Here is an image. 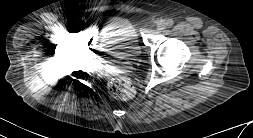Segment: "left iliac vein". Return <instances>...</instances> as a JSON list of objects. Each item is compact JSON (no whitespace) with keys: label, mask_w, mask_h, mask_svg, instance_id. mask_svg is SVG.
Here are the masks:
<instances>
[{"label":"left iliac vein","mask_w":253,"mask_h":138,"mask_svg":"<svg viewBox=\"0 0 253 138\" xmlns=\"http://www.w3.org/2000/svg\"><path fill=\"white\" fill-rule=\"evenodd\" d=\"M165 27H166V24H165L164 22H160V23L157 25V29H158L159 31L164 30Z\"/></svg>","instance_id":"1"}]
</instances>
